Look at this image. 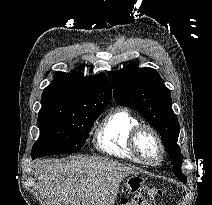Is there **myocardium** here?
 Segmentation results:
<instances>
[{"label": "myocardium", "mask_w": 212, "mask_h": 205, "mask_svg": "<svg viewBox=\"0 0 212 205\" xmlns=\"http://www.w3.org/2000/svg\"><path fill=\"white\" fill-rule=\"evenodd\" d=\"M145 136L149 137L156 146L158 152L157 157L152 158L143 151L141 139ZM129 143L132 152L140 161L151 165H157L162 162L165 155L164 146L160 136L152 127L148 125H139L136 127L130 135Z\"/></svg>", "instance_id": "f54148a6"}]
</instances>
